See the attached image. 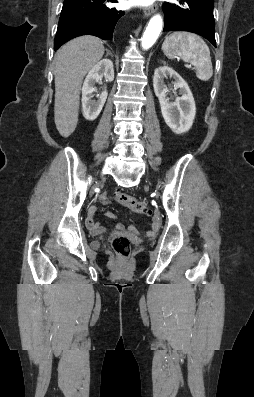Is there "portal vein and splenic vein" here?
I'll return each instance as SVG.
<instances>
[{"label": "portal vein and splenic vein", "mask_w": 254, "mask_h": 397, "mask_svg": "<svg viewBox=\"0 0 254 397\" xmlns=\"http://www.w3.org/2000/svg\"><path fill=\"white\" fill-rule=\"evenodd\" d=\"M186 66H187L188 68H192V66H191V65H189V64H187Z\"/></svg>", "instance_id": "portal-vein-and-splenic-vein-1"}]
</instances>
